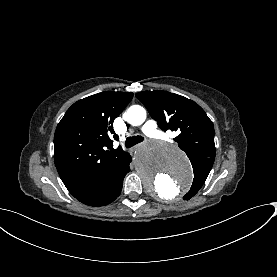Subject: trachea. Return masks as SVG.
I'll return each instance as SVG.
<instances>
[{"instance_id":"1","label":"trachea","mask_w":277,"mask_h":277,"mask_svg":"<svg viewBox=\"0 0 277 277\" xmlns=\"http://www.w3.org/2000/svg\"><path fill=\"white\" fill-rule=\"evenodd\" d=\"M144 138L142 136H129L126 138L125 145L126 148L133 147L134 145L142 142Z\"/></svg>"}]
</instances>
